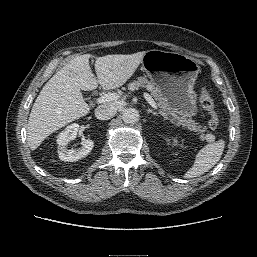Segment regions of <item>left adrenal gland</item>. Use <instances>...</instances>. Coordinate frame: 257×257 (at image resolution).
Listing matches in <instances>:
<instances>
[{"instance_id":"a2214340","label":"left adrenal gland","mask_w":257,"mask_h":257,"mask_svg":"<svg viewBox=\"0 0 257 257\" xmlns=\"http://www.w3.org/2000/svg\"><path fill=\"white\" fill-rule=\"evenodd\" d=\"M147 113H148V114L151 113V114H153V115H158V113L155 112V111H153L152 109H148V110H147Z\"/></svg>"}]
</instances>
